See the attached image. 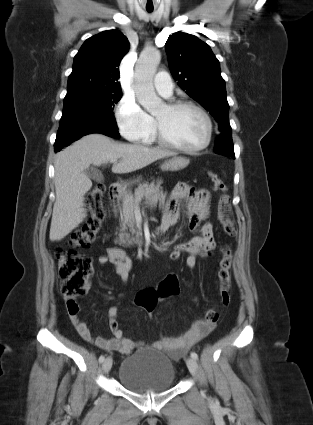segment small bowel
Here are the masks:
<instances>
[{"label":"small bowel","instance_id":"obj_1","mask_svg":"<svg viewBox=\"0 0 313 425\" xmlns=\"http://www.w3.org/2000/svg\"><path fill=\"white\" fill-rule=\"evenodd\" d=\"M209 200L210 194L207 190H196L187 183H178L173 189L169 209L161 221V231H166L175 225L180 216V202L185 201L189 228L196 235L189 241L175 245L170 252V258L177 260L181 257L182 253H188L189 256L186 259V265L191 269L196 266L197 257L203 254L205 249L214 247L212 225L209 222H205L209 215ZM202 222L205 223L201 224ZM97 261L100 264L110 263L122 281L126 282L128 280L131 261L123 250L111 247L107 250L106 254L100 255ZM66 305L73 326L85 341L93 343L103 350L116 351L124 355L130 354L140 344L123 335L117 320V307L113 306L108 311L109 326L113 337L106 338L103 336L94 337L92 335L88 325L79 318V306L77 303L75 309H72L67 302ZM213 327L208 325L204 320H200L195 322L180 337H163L158 341H154L152 346L154 348H164L173 358L177 359L194 344L205 338Z\"/></svg>","mask_w":313,"mask_h":425}]
</instances>
